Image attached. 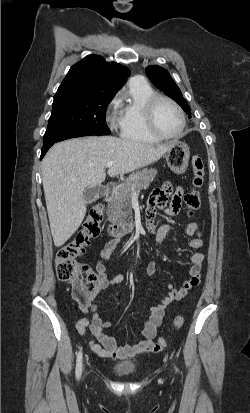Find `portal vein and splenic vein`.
Returning a JSON list of instances; mask_svg holds the SVG:
<instances>
[{
  "label": "portal vein and splenic vein",
  "mask_w": 250,
  "mask_h": 413,
  "mask_svg": "<svg viewBox=\"0 0 250 413\" xmlns=\"http://www.w3.org/2000/svg\"><path fill=\"white\" fill-rule=\"evenodd\" d=\"M113 164H114L113 162H108V163L106 164V167H107V168H110V167H112Z\"/></svg>",
  "instance_id": "1"
}]
</instances>
